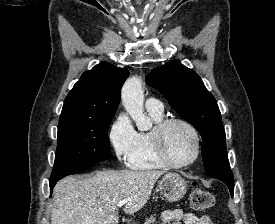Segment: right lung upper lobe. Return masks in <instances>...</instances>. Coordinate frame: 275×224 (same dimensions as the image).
I'll return each mask as SVG.
<instances>
[{
  "label": "right lung upper lobe",
  "mask_w": 275,
  "mask_h": 224,
  "mask_svg": "<svg viewBox=\"0 0 275 224\" xmlns=\"http://www.w3.org/2000/svg\"><path fill=\"white\" fill-rule=\"evenodd\" d=\"M128 75L127 69L106 62L84 72L65 98L59 122L113 117Z\"/></svg>",
  "instance_id": "cb5924a9"
}]
</instances>
